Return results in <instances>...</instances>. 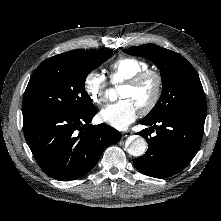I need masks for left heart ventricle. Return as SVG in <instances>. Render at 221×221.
<instances>
[{"label":"left heart ventricle","instance_id":"1","mask_svg":"<svg viewBox=\"0 0 221 221\" xmlns=\"http://www.w3.org/2000/svg\"><path fill=\"white\" fill-rule=\"evenodd\" d=\"M155 84L153 80H148L140 86L122 85L119 90L121 98L130 99L138 108L144 106L152 98Z\"/></svg>","mask_w":221,"mask_h":221}]
</instances>
